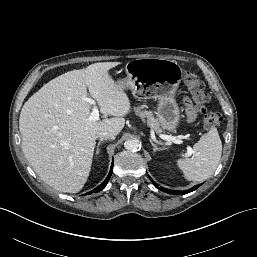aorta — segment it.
<instances>
[{"instance_id":"762f6f07","label":"aorta","mask_w":257,"mask_h":257,"mask_svg":"<svg viewBox=\"0 0 257 257\" xmlns=\"http://www.w3.org/2000/svg\"><path fill=\"white\" fill-rule=\"evenodd\" d=\"M124 147L128 151H138L141 148V143L137 139H130L125 141Z\"/></svg>"}]
</instances>
